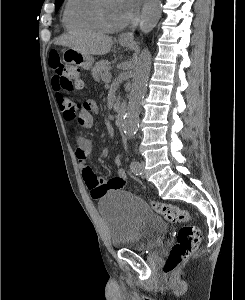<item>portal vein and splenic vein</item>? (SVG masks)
I'll list each match as a JSON object with an SVG mask.
<instances>
[{
	"label": "portal vein and splenic vein",
	"instance_id": "18ae733b",
	"mask_svg": "<svg viewBox=\"0 0 245 300\" xmlns=\"http://www.w3.org/2000/svg\"><path fill=\"white\" fill-rule=\"evenodd\" d=\"M108 78L111 79V74L108 75Z\"/></svg>",
	"mask_w": 245,
	"mask_h": 300
}]
</instances>
